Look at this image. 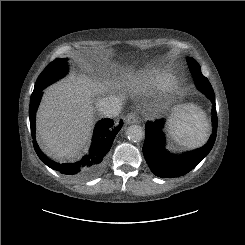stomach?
<instances>
[{
  "label": "stomach",
  "mask_w": 245,
  "mask_h": 245,
  "mask_svg": "<svg viewBox=\"0 0 245 245\" xmlns=\"http://www.w3.org/2000/svg\"><path fill=\"white\" fill-rule=\"evenodd\" d=\"M160 101L163 107H166L170 103V100L166 97L161 98ZM182 111H183V107L181 105L173 107L172 112H171V117L172 118L178 117Z\"/></svg>",
  "instance_id": "1"
}]
</instances>
